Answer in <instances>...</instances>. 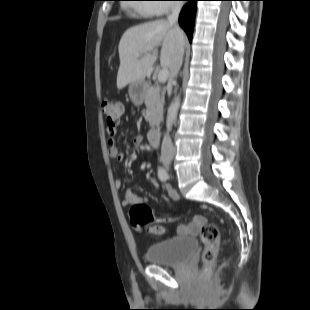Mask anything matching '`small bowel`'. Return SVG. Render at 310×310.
<instances>
[{"label":"small bowel","instance_id":"obj_1","mask_svg":"<svg viewBox=\"0 0 310 310\" xmlns=\"http://www.w3.org/2000/svg\"><path fill=\"white\" fill-rule=\"evenodd\" d=\"M107 132L109 135V155L111 158L117 160L118 162H122L125 159L124 153L120 150V148L116 145L115 137L118 134L117 127H110L108 126ZM132 144L136 149H140L143 145V138L140 135H135L132 138ZM115 185L117 188L121 187V180L117 179L115 181ZM165 193L167 197L171 200H178L179 195L177 192L170 186L165 187ZM146 198L139 196L138 194L134 193L132 190H127L124 198L122 199V205L123 206H132L136 203H139L141 201H145ZM205 221L204 217L202 216H195L191 223L186 225H180L177 228V233L182 236H187L196 231V229L200 226V223ZM147 231L155 236L160 237L165 233V227L160 224H154L151 226H148Z\"/></svg>","mask_w":310,"mask_h":310}]
</instances>
